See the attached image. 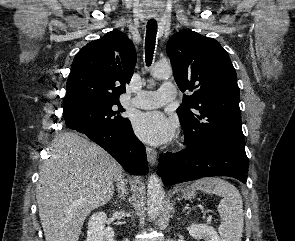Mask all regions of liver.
<instances>
[{
    "mask_svg": "<svg viewBox=\"0 0 295 241\" xmlns=\"http://www.w3.org/2000/svg\"><path fill=\"white\" fill-rule=\"evenodd\" d=\"M51 147L36 188L45 240L78 241L86 217L113 196V178L121 167L77 133L59 134Z\"/></svg>",
    "mask_w": 295,
    "mask_h": 241,
    "instance_id": "obj_1",
    "label": "liver"
}]
</instances>
